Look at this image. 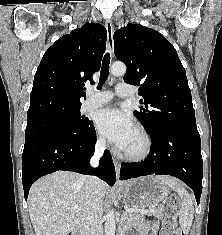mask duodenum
Instances as JSON below:
<instances>
[{
    "label": "duodenum",
    "mask_w": 222,
    "mask_h": 235,
    "mask_svg": "<svg viewBox=\"0 0 222 235\" xmlns=\"http://www.w3.org/2000/svg\"><path fill=\"white\" fill-rule=\"evenodd\" d=\"M71 235H85V231L81 225L76 226Z\"/></svg>",
    "instance_id": "obj_1"
}]
</instances>
